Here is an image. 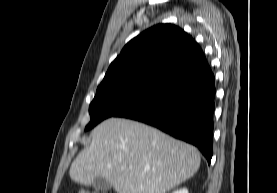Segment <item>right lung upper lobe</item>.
<instances>
[{"mask_svg": "<svg viewBox=\"0 0 277 193\" xmlns=\"http://www.w3.org/2000/svg\"><path fill=\"white\" fill-rule=\"evenodd\" d=\"M207 65L193 38L172 24H159L128 42L97 89L135 87L157 90Z\"/></svg>", "mask_w": 277, "mask_h": 193, "instance_id": "obj_1", "label": "right lung upper lobe"}]
</instances>
